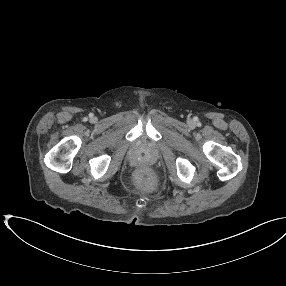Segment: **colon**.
<instances>
[{"label":"colon","mask_w":286,"mask_h":286,"mask_svg":"<svg viewBox=\"0 0 286 286\" xmlns=\"http://www.w3.org/2000/svg\"><path fill=\"white\" fill-rule=\"evenodd\" d=\"M146 180L147 181L149 180V177H148V174L146 173V171L145 170L139 171L136 175V181L139 184H143Z\"/></svg>","instance_id":"5ec220e1"}]
</instances>
